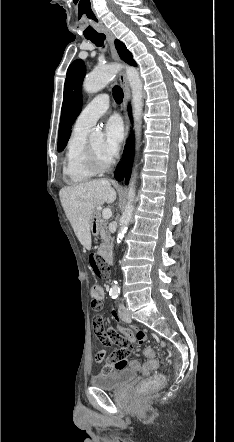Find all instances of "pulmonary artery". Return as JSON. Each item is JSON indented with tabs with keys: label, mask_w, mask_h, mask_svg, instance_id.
Here are the masks:
<instances>
[{
	"label": "pulmonary artery",
	"mask_w": 234,
	"mask_h": 442,
	"mask_svg": "<svg viewBox=\"0 0 234 442\" xmlns=\"http://www.w3.org/2000/svg\"><path fill=\"white\" fill-rule=\"evenodd\" d=\"M109 97L100 94L92 99L77 117L74 127L89 131L96 121L108 110Z\"/></svg>",
	"instance_id": "1"
}]
</instances>
